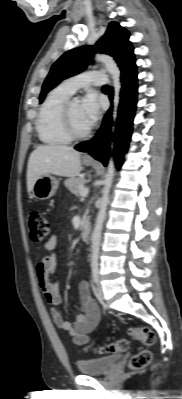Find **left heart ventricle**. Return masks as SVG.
<instances>
[{"label": "left heart ventricle", "instance_id": "left-heart-ventricle-1", "mask_svg": "<svg viewBox=\"0 0 182 399\" xmlns=\"http://www.w3.org/2000/svg\"><path fill=\"white\" fill-rule=\"evenodd\" d=\"M70 114H71L73 126L76 131L84 132L89 128L82 117L80 103H78V102L70 103Z\"/></svg>", "mask_w": 182, "mask_h": 399}]
</instances>
